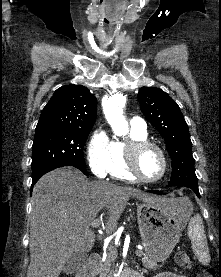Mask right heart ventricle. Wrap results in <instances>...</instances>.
<instances>
[{
    "mask_svg": "<svg viewBox=\"0 0 221 277\" xmlns=\"http://www.w3.org/2000/svg\"><path fill=\"white\" fill-rule=\"evenodd\" d=\"M147 140L146 131L130 130L129 140H113L110 144V158L107 165V173L114 179L123 181H135L126 166V147L131 141Z\"/></svg>",
    "mask_w": 221,
    "mask_h": 277,
    "instance_id": "e07e8e85",
    "label": "right heart ventricle"
}]
</instances>
